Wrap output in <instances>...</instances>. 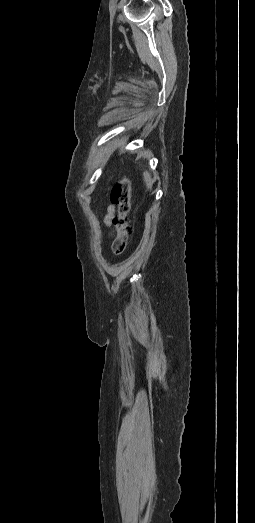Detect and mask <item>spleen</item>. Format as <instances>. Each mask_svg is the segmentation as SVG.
I'll return each instance as SVG.
<instances>
[{
    "label": "spleen",
    "mask_w": 255,
    "mask_h": 523,
    "mask_svg": "<svg viewBox=\"0 0 255 523\" xmlns=\"http://www.w3.org/2000/svg\"><path fill=\"white\" fill-rule=\"evenodd\" d=\"M144 180L145 182H147V186H149V188H151L152 184H151V176L150 174H148V172H144Z\"/></svg>",
    "instance_id": "obj_1"
}]
</instances>
